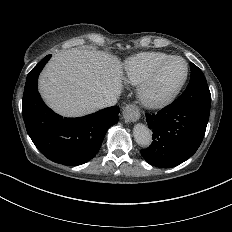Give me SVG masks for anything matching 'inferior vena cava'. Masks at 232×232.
Returning <instances> with one entry per match:
<instances>
[{
    "label": "inferior vena cava",
    "instance_id": "inferior-vena-cava-1",
    "mask_svg": "<svg viewBox=\"0 0 232 232\" xmlns=\"http://www.w3.org/2000/svg\"><path fill=\"white\" fill-rule=\"evenodd\" d=\"M116 103H117L116 96L115 95H109V96L103 98L102 100L93 103V106H94V108L102 109V108H105V107L113 106Z\"/></svg>",
    "mask_w": 232,
    "mask_h": 232
}]
</instances>
